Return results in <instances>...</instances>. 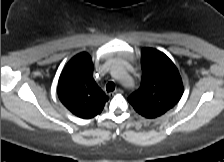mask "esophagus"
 Instances as JSON below:
<instances>
[{
  "instance_id": "esophagus-1",
  "label": "esophagus",
  "mask_w": 224,
  "mask_h": 162,
  "mask_svg": "<svg viewBox=\"0 0 224 162\" xmlns=\"http://www.w3.org/2000/svg\"><path fill=\"white\" fill-rule=\"evenodd\" d=\"M118 93H123V90L122 89H116L115 91L111 92L109 95L110 96H114V95H116Z\"/></svg>"
}]
</instances>
